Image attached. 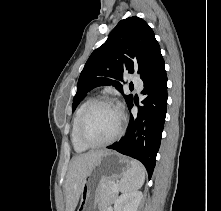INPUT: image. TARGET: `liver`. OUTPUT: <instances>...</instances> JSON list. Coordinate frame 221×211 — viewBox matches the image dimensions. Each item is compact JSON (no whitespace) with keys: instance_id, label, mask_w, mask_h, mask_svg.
<instances>
[{"instance_id":"liver-1","label":"liver","mask_w":221,"mask_h":211,"mask_svg":"<svg viewBox=\"0 0 221 211\" xmlns=\"http://www.w3.org/2000/svg\"><path fill=\"white\" fill-rule=\"evenodd\" d=\"M106 152L98 150L76 155L72 158L65 181L66 210L74 211L81 195L84 179L96 159Z\"/></svg>"}]
</instances>
